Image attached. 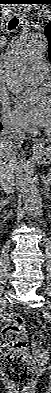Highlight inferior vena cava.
Returning a JSON list of instances; mask_svg holds the SVG:
<instances>
[{
	"label": "inferior vena cava",
	"instance_id": "1",
	"mask_svg": "<svg viewBox=\"0 0 51 393\" xmlns=\"http://www.w3.org/2000/svg\"><path fill=\"white\" fill-rule=\"evenodd\" d=\"M25 139V130L22 125L14 121L8 122L0 133V154L6 155L13 152L17 156V149ZM7 160L0 158V187L6 194H11L15 190L14 171L11 165H6Z\"/></svg>",
	"mask_w": 51,
	"mask_h": 393
}]
</instances>
